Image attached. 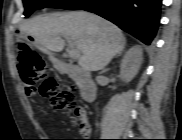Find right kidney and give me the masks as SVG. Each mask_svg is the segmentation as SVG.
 Here are the masks:
<instances>
[{
	"label": "right kidney",
	"instance_id": "ca27d5eb",
	"mask_svg": "<svg viewBox=\"0 0 182 140\" xmlns=\"http://www.w3.org/2000/svg\"><path fill=\"white\" fill-rule=\"evenodd\" d=\"M142 64V48L134 46L127 51L120 65V76L125 82H130L137 75Z\"/></svg>",
	"mask_w": 182,
	"mask_h": 140
}]
</instances>
